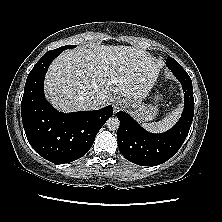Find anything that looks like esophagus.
Here are the masks:
<instances>
[{"instance_id":"1","label":"esophagus","mask_w":222,"mask_h":222,"mask_svg":"<svg viewBox=\"0 0 222 222\" xmlns=\"http://www.w3.org/2000/svg\"><path fill=\"white\" fill-rule=\"evenodd\" d=\"M126 102L124 100L118 99L114 102L113 107H114V112H117L123 108H125Z\"/></svg>"}]
</instances>
